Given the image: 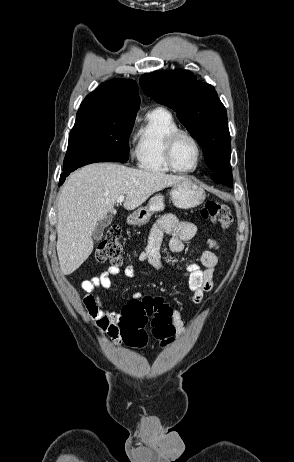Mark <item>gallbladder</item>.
Listing matches in <instances>:
<instances>
[{
    "instance_id": "bac80fb5",
    "label": "gallbladder",
    "mask_w": 294,
    "mask_h": 462,
    "mask_svg": "<svg viewBox=\"0 0 294 462\" xmlns=\"http://www.w3.org/2000/svg\"><path fill=\"white\" fill-rule=\"evenodd\" d=\"M112 222V218L111 217H106L104 218L103 220H100L93 233H92V238L95 240V241H99L102 236H103V232H104V229L109 226Z\"/></svg>"
}]
</instances>
